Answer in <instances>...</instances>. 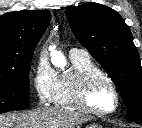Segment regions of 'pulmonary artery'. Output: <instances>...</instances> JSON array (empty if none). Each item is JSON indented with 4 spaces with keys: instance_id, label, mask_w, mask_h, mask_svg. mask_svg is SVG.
I'll return each mask as SVG.
<instances>
[{
    "instance_id": "e3ab8cb5",
    "label": "pulmonary artery",
    "mask_w": 142,
    "mask_h": 128,
    "mask_svg": "<svg viewBox=\"0 0 142 128\" xmlns=\"http://www.w3.org/2000/svg\"><path fill=\"white\" fill-rule=\"evenodd\" d=\"M69 53L70 55H73V56H89L86 50L79 49V48H71Z\"/></svg>"
}]
</instances>
